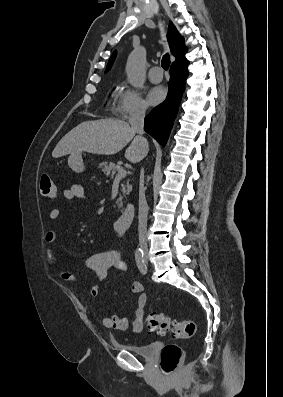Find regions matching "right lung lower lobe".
Returning a JSON list of instances; mask_svg holds the SVG:
<instances>
[{
    "mask_svg": "<svg viewBox=\"0 0 283 397\" xmlns=\"http://www.w3.org/2000/svg\"><path fill=\"white\" fill-rule=\"evenodd\" d=\"M188 61L172 64L170 68L169 90L166 100L145 118V131L162 146L167 142L173 121L184 92L188 76Z\"/></svg>",
    "mask_w": 283,
    "mask_h": 397,
    "instance_id": "98d812e1",
    "label": "right lung lower lobe"
}]
</instances>
